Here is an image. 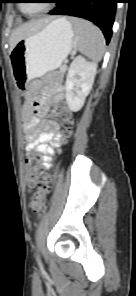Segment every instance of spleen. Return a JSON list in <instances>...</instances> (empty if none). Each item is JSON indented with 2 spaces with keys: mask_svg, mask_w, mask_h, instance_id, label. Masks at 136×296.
Returning a JSON list of instances; mask_svg holds the SVG:
<instances>
[{
  "mask_svg": "<svg viewBox=\"0 0 136 296\" xmlns=\"http://www.w3.org/2000/svg\"><path fill=\"white\" fill-rule=\"evenodd\" d=\"M77 35L78 50L93 61L101 60L105 52V39L98 27L84 19L71 18Z\"/></svg>",
  "mask_w": 136,
  "mask_h": 296,
  "instance_id": "1",
  "label": "spleen"
}]
</instances>
